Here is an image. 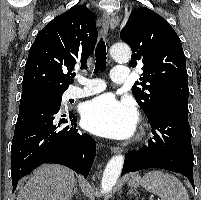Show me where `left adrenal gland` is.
I'll list each match as a JSON object with an SVG mask.
<instances>
[{
  "label": "left adrenal gland",
  "mask_w": 201,
  "mask_h": 200,
  "mask_svg": "<svg viewBox=\"0 0 201 200\" xmlns=\"http://www.w3.org/2000/svg\"><path fill=\"white\" fill-rule=\"evenodd\" d=\"M127 194H133L136 198H138V193L136 191H133L132 188H130V190L127 192Z\"/></svg>",
  "instance_id": "a2214340"
}]
</instances>
